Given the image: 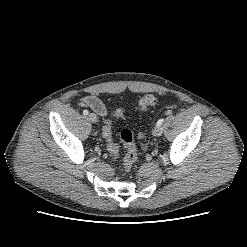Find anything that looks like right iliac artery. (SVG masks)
<instances>
[{"label":"right iliac artery","mask_w":247,"mask_h":247,"mask_svg":"<svg viewBox=\"0 0 247 247\" xmlns=\"http://www.w3.org/2000/svg\"><path fill=\"white\" fill-rule=\"evenodd\" d=\"M88 113H89L88 110H84V111H83V114H84V115H88Z\"/></svg>","instance_id":"1"}]
</instances>
